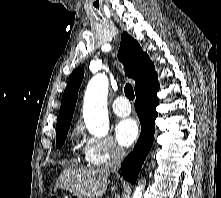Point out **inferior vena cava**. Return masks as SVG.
I'll use <instances>...</instances> for the list:
<instances>
[{
  "instance_id": "inferior-vena-cava-1",
  "label": "inferior vena cava",
  "mask_w": 221,
  "mask_h": 198,
  "mask_svg": "<svg viewBox=\"0 0 221 198\" xmlns=\"http://www.w3.org/2000/svg\"><path fill=\"white\" fill-rule=\"evenodd\" d=\"M125 156V151L119 146H115L110 155V160L107 165L104 167V170L111 173H116L120 168L121 161Z\"/></svg>"
}]
</instances>
